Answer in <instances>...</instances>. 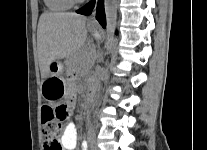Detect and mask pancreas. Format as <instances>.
Masks as SVG:
<instances>
[{
  "label": "pancreas",
  "mask_w": 207,
  "mask_h": 150,
  "mask_svg": "<svg viewBox=\"0 0 207 150\" xmlns=\"http://www.w3.org/2000/svg\"><path fill=\"white\" fill-rule=\"evenodd\" d=\"M93 59V54L89 51H83L76 59V67L84 68L87 67Z\"/></svg>",
  "instance_id": "pancreas-1"
}]
</instances>
